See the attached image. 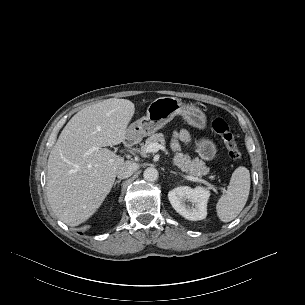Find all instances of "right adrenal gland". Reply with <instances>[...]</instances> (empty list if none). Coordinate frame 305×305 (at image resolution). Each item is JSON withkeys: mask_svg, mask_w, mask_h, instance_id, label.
<instances>
[{"mask_svg": "<svg viewBox=\"0 0 305 305\" xmlns=\"http://www.w3.org/2000/svg\"><path fill=\"white\" fill-rule=\"evenodd\" d=\"M120 182H121V179L116 180V181L113 183V186L115 187V186H116V184H119Z\"/></svg>", "mask_w": 305, "mask_h": 305, "instance_id": "1", "label": "right adrenal gland"}]
</instances>
